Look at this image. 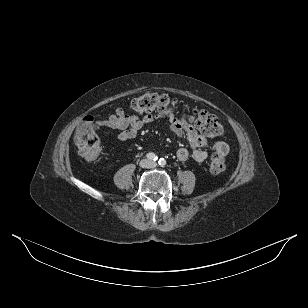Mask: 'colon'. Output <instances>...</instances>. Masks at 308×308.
<instances>
[{
	"mask_svg": "<svg viewBox=\"0 0 308 308\" xmlns=\"http://www.w3.org/2000/svg\"><path fill=\"white\" fill-rule=\"evenodd\" d=\"M130 109L135 113H170L182 110L183 118L197 128L203 135L211 138L221 137L224 127L216 116L205 110L181 107L178 101L167 94L145 93L135 98ZM100 122L91 115H86L75 131L74 141L79 154L87 160H94L100 154V142L97 129ZM210 171L219 174L226 168L225 156L215 153L211 156Z\"/></svg>",
	"mask_w": 308,
	"mask_h": 308,
	"instance_id": "obj_1",
	"label": "colon"
}]
</instances>
